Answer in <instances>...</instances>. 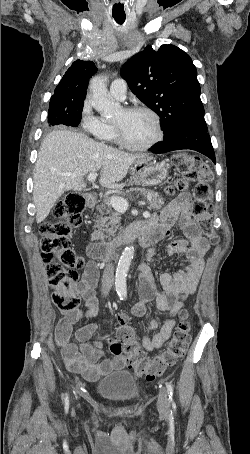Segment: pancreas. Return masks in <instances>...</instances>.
Segmentation results:
<instances>
[{
  "mask_svg": "<svg viewBox=\"0 0 250 454\" xmlns=\"http://www.w3.org/2000/svg\"><path fill=\"white\" fill-rule=\"evenodd\" d=\"M134 190L141 192L149 198L148 209H160L163 206L164 200L158 195V193L142 188H136ZM97 211L100 213V216H98L95 221L97 230L93 232L91 237L93 240H100L104 242L105 239L115 236L119 221L117 214L112 212L108 200L103 201L101 206L97 207ZM105 214H109V216L106 217L104 216Z\"/></svg>",
  "mask_w": 250,
  "mask_h": 454,
  "instance_id": "pancreas-1",
  "label": "pancreas"
}]
</instances>
